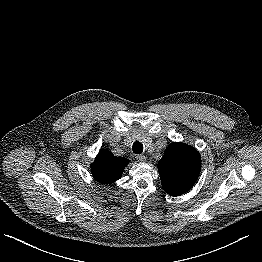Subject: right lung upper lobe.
Returning <instances> with one entry per match:
<instances>
[{
    "mask_svg": "<svg viewBox=\"0 0 262 262\" xmlns=\"http://www.w3.org/2000/svg\"><path fill=\"white\" fill-rule=\"evenodd\" d=\"M129 160L115 157L108 150H100L91 165V172L95 180L101 184H111L120 179Z\"/></svg>",
    "mask_w": 262,
    "mask_h": 262,
    "instance_id": "1",
    "label": "right lung upper lobe"
}]
</instances>
